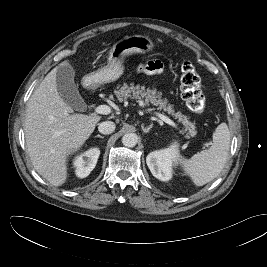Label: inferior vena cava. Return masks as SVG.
I'll use <instances>...</instances> for the list:
<instances>
[{
  "label": "inferior vena cava",
  "instance_id": "602c4592",
  "mask_svg": "<svg viewBox=\"0 0 267 267\" xmlns=\"http://www.w3.org/2000/svg\"><path fill=\"white\" fill-rule=\"evenodd\" d=\"M98 130L102 134H111L115 130V123L112 121H105L99 124Z\"/></svg>",
  "mask_w": 267,
  "mask_h": 267
}]
</instances>
